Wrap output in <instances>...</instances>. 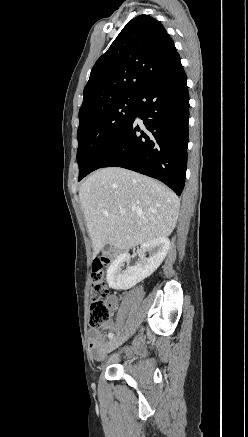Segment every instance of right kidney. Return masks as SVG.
<instances>
[{
  "label": "right kidney",
  "instance_id": "ca27d5eb",
  "mask_svg": "<svg viewBox=\"0 0 248 437\" xmlns=\"http://www.w3.org/2000/svg\"><path fill=\"white\" fill-rule=\"evenodd\" d=\"M170 249V241L166 237L150 240L143 243L138 250L141 259L135 266L122 270L124 263L129 260L128 253L120 254L107 270V282L116 290H126L135 286L153 274L161 265ZM149 252V257L145 253Z\"/></svg>",
  "mask_w": 248,
  "mask_h": 437
}]
</instances>
